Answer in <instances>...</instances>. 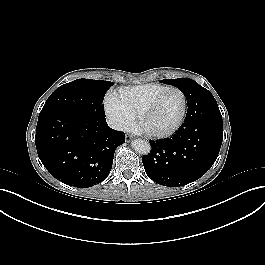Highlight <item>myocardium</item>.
I'll return each mask as SVG.
<instances>
[{"label": "myocardium", "mask_w": 265, "mask_h": 265, "mask_svg": "<svg viewBox=\"0 0 265 265\" xmlns=\"http://www.w3.org/2000/svg\"><path fill=\"white\" fill-rule=\"evenodd\" d=\"M172 90L179 92L181 97H182V111H181V114H180L177 122L171 128H169L165 131L149 130L145 126L146 118L148 117L150 112L156 107V105L158 104L160 99L163 97V95L169 91H172ZM187 108H188V102H187V97H186V94L184 93V91L182 89H180L179 87H176V86H167L162 91H160L149 102V104L145 107V109L143 110V112L141 113L140 118H139V128H140L141 132H143L148 137L158 138V139L167 138V137L173 135L175 132H177L179 130V128L182 126V124L185 120V117H186Z\"/></svg>", "instance_id": "1"}]
</instances>
